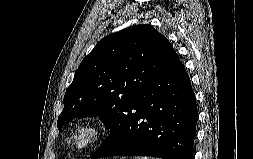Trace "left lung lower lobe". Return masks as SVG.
<instances>
[{
	"label": "left lung lower lobe",
	"mask_w": 253,
	"mask_h": 159,
	"mask_svg": "<svg viewBox=\"0 0 253 159\" xmlns=\"http://www.w3.org/2000/svg\"><path fill=\"white\" fill-rule=\"evenodd\" d=\"M196 122L195 95L176 55L128 106L116 131L91 158L193 159Z\"/></svg>",
	"instance_id": "obj_1"
}]
</instances>
